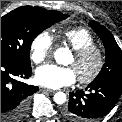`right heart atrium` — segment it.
<instances>
[{"label":"right heart atrium","instance_id":"obj_1","mask_svg":"<svg viewBox=\"0 0 122 122\" xmlns=\"http://www.w3.org/2000/svg\"><path fill=\"white\" fill-rule=\"evenodd\" d=\"M54 47V39L48 31L38 33L30 44L31 60L39 64L48 58Z\"/></svg>","mask_w":122,"mask_h":122}]
</instances>
